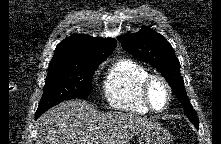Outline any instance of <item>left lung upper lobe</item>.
I'll return each mask as SVG.
<instances>
[{"mask_svg": "<svg viewBox=\"0 0 221 144\" xmlns=\"http://www.w3.org/2000/svg\"><path fill=\"white\" fill-rule=\"evenodd\" d=\"M118 40L128 53L149 63L163 75L185 107L187 117L198 127L196 112L186 95L178 58L169 42L159 33L146 27L138 33L119 36Z\"/></svg>", "mask_w": 221, "mask_h": 144, "instance_id": "left-lung-upper-lobe-1", "label": "left lung upper lobe"}]
</instances>
